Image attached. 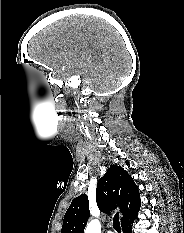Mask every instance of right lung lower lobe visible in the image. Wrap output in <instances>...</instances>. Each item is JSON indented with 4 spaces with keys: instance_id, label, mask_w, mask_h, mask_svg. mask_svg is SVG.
<instances>
[{
    "instance_id": "right-lung-lower-lobe-1",
    "label": "right lung lower lobe",
    "mask_w": 184,
    "mask_h": 233,
    "mask_svg": "<svg viewBox=\"0 0 184 233\" xmlns=\"http://www.w3.org/2000/svg\"><path fill=\"white\" fill-rule=\"evenodd\" d=\"M137 218V214L133 217H131L129 220H127L126 222L122 223V230L123 233H132V225H133V221Z\"/></svg>"
}]
</instances>
